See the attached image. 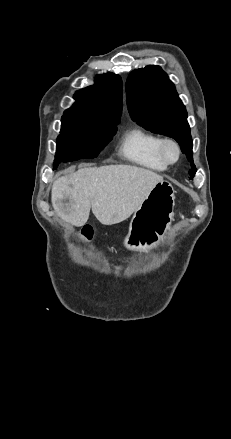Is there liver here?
I'll use <instances>...</instances> for the list:
<instances>
[{"label":"liver","mask_w":231,"mask_h":439,"mask_svg":"<svg viewBox=\"0 0 231 439\" xmlns=\"http://www.w3.org/2000/svg\"><path fill=\"white\" fill-rule=\"evenodd\" d=\"M161 181L159 174L131 165L82 168L53 183L51 202L76 227L87 222L90 210L101 224L113 225L128 219Z\"/></svg>","instance_id":"liver-1"}]
</instances>
